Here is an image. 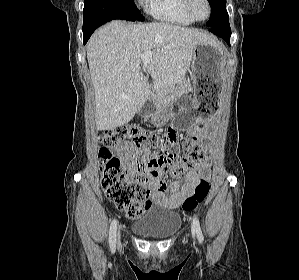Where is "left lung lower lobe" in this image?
I'll return each instance as SVG.
<instances>
[{
    "label": "left lung lower lobe",
    "instance_id": "obj_1",
    "mask_svg": "<svg viewBox=\"0 0 299 280\" xmlns=\"http://www.w3.org/2000/svg\"><path fill=\"white\" fill-rule=\"evenodd\" d=\"M210 32L223 38L228 45H230L231 29L229 25V17L227 12L222 16L221 20L210 27Z\"/></svg>",
    "mask_w": 299,
    "mask_h": 280
}]
</instances>
